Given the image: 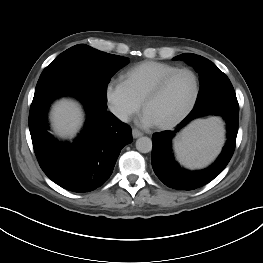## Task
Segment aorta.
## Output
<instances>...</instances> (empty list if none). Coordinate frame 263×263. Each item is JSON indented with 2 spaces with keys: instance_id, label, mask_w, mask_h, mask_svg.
<instances>
[{
  "instance_id": "1",
  "label": "aorta",
  "mask_w": 263,
  "mask_h": 263,
  "mask_svg": "<svg viewBox=\"0 0 263 263\" xmlns=\"http://www.w3.org/2000/svg\"><path fill=\"white\" fill-rule=\"evenodd\" d=\"M136 149L141 153H149L152 150V140L149 137L138 138Z\"/></svg>"
}]
</instances>
